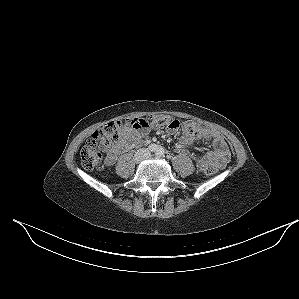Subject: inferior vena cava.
Segmentation results:
<instances>
[{
  "instance_id": "1",
  "label": "inferior vena cava",
  "mask_w": 299,
  "mask_h": 299,
  "mask_svg": "<svg viewBox=\"0 0 299 299\" xmlns=\"http://www.w3.org/2000/svg\"><path fill=\"white\" fill-rule=\"evenodd\" d=\"M150 156V152L148 149L142 148L139 149L136 153H135V159L137 161H142L145 160L146 158H148Z\"/></svg>"
}]
</instances>
